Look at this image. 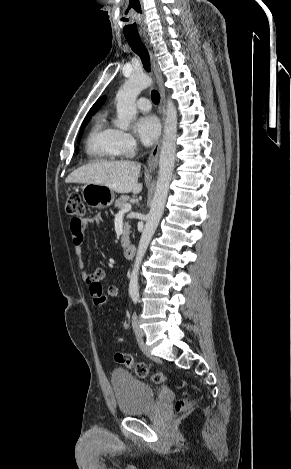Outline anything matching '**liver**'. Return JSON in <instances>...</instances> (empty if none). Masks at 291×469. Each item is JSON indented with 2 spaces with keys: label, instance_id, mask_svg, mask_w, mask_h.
<instances>
[{
  "label": "liver",
  "instance_id": "obj_1",
  "mask_svg": "<svg viewBox=\"0 0 291 469\" xmlns=\"http://www.w3.org/2000/svg\"><path fill=\"white\" fill-rule=\"evenodd\" d=\"M140 170L141 165L133 161H100L74 170L65 182L92 183L107 186L117 193L138 194L142 190V183H138Z\"/></svg>",
  "mask_w": 291,
  "mask_h": 469
}]
</instances>
